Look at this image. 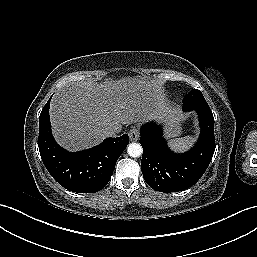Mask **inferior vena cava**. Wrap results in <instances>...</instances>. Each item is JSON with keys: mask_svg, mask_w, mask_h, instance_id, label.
Instances as JSON below:
<instances>
[{"mask_svg": "<svg viewBox=\"0 0 257 257\" xmlns=\"http://www.w3.org/2000/svg\"><path fill=\"white\" fill-rule=\"evenodd\" d=\"M107 137H115L116 136V131L115 130H108L106 132Z\"/></svg>", "mask_w": 257, "mask_h": 257, "instance_id": "602c4592", "label": "inferior vena cava"}]
</instances>
